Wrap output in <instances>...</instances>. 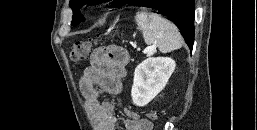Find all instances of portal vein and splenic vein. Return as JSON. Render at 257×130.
I'll return each instance as SVG.
<instances>
[{"label":"portal vein and splenic vein","instance_id":"obj_1","mask_svg":"<svg viewBox=\"0 0 257 130\" xmlns=\"http://www.w3.org/2000/svg\"><path fill=\"white\" fill-rule=\"evenodd\" d=\"M151 48H146L143 52L145 53V54H148V53H150L151 52Z\"/></svg>","mask_w":257,"mask_h":130}]
</instances>
